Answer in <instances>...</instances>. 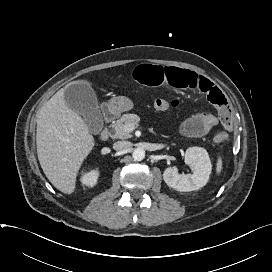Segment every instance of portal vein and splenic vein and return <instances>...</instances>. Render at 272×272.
Masks as SVG:
<instances>
[{
    "instance_id": "1",
    "label": "portal vein and splenic vein",
    "mask_w": 272,
    "mask_h": 272,
    "mask_svg": "<svg viewBox=\"0 0 272 272\" xmlns=\"http://www.w3.org/2000/svg\"><path fill=\"white\" fill-rule=\"evenodd\" d=\"M125 128H126L127 131H133L134 130V126L130 125V124L127 125Z\"/></svg>"
}]
</instances>
